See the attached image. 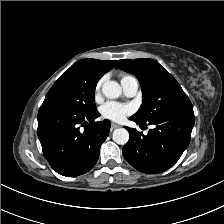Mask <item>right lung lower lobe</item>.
<instances>
[{"label":"right lung lower lobe","instance_id":"right-lung-lower-lobe-1","mask_svg":"<svg viewBox=\"0 0 224 224\" xmlns=\"http://www.w3.org/2000/svg\"><path fill=\"white\" fill-rule=\"evenodd\" d=\"M99 115L98 111L83 114L52 103L41 105L37 134L45 158L57 173L74 177L95 165L111 126L109 120L95 122Z\"/></svg>","mask_w":224,"mask_h":224}]
</instances>
